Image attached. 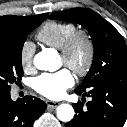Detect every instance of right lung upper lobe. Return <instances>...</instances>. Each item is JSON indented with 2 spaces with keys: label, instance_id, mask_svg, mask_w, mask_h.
Instances as JSON below:
<instances>
[{
  "label": "right lung upper lobe",
  "instance_id": "1",
  "mask_svg": "<svg viewBox=\"0 0 127 127\" xmlns=\"http://www.w3.org/2000/svg\"><path fill=\"white\" fill-rule=\"evenodd\" d=\"M39 16H44L45 18L48 16V14H41L37 16H12V15H6L0 17V29H10L16 26L23 25L27 22H30Z\"/></svg>",
  "mask_w": 127,
  "mask_h": 127
}]
</instances>
